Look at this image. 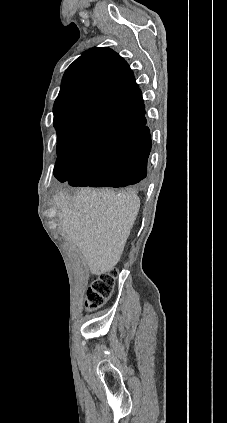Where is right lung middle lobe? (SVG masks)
<instances>
[{"instance_id":"dd1d6c3e","label":"right lung middle lobe","mask_w":227,"mask_h":423,"mask_svg":"<svg viewBox=\"0 0 227 423\" xmlns=\"http://www.w3.org/2000/svg\"><path fill=\"white\" fill-rule=\"evenodd\" d=\"M57 154V161L65 160L69 164V175L73 174L80 164L89 156L88 154L79 153L60 145H57Z\"/></svg>"}]
</instances>
